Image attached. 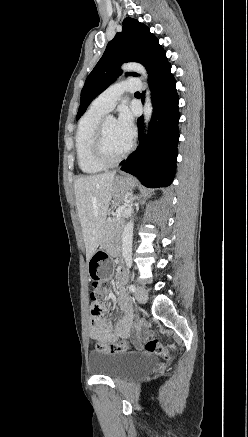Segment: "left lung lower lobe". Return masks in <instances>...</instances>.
I'll return each mask as SVG.
<instances>
[{"instance_id": "left-lung-lower-lobe-1", "label": "left lung lower lobe", "mask_w": 248, "mask_h": 437, "mask_svg": "<svg viewBox=\"0 0 248 437\" xmlns=\"http://www.w3.org/2000/svg\"><path fill=\"white\" fill-rule=\"evenodd\" d=\"M149 83L153 102L150 132L143 135V117L138 118L139 147L129 155L121 170L137 176L147 187H167L176 170L180 118L171 65L168 63Z\"/></svg>"}]
</instances>
